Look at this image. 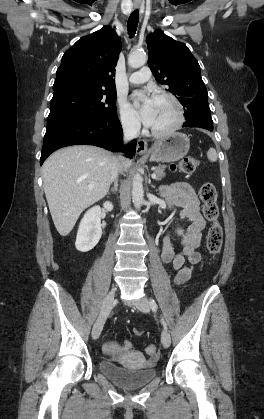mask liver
Masks as SVG:
<instances>
[{"instance_id":"obj_1","label":"liver","mask_w":264,"mask_h":419,"mask_svg":"<svg viewBox=\"0 0 264 419\" xmlns=\"http://www.w3.org/2000/svg\"><path fill=\"white\" fill-rule=\"evenodd\" d=\"M114 155L89 145H75L54 152L42 166L45 196L54 225L67 236L80 214L102 199L112 182ZM131 161H121L127 171ZM92 185V188H89Z\"/></svg>"}]
</instances>
